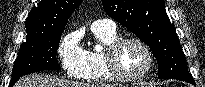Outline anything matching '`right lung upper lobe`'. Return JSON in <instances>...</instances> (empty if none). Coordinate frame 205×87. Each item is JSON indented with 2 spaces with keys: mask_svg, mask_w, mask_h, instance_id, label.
<instances>
[{
  "mask_svg": "<svg viewBox=\"0 0 205 87\" xmlns=\"http://www.w3.org/2000/svg\"><path fill=\"white\" fill-rule=\"evenodd\" d=\"M83 0H41L26 19L27 36L63 32L73 11Z\"/></svg>",
  "mask_w": 205,
  "mask_h": 87,
  "instance_id": "cb5924a9",
  "label": "right lung upper lobe"
}]
</instances>
